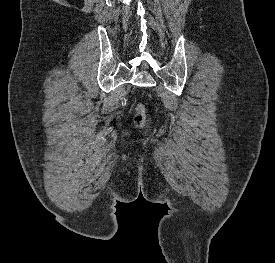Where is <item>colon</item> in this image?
<instances>
[{"label": "colon", "mask_w": 275, "mask_h": 263, "mask_svg": "<svg viewBox=\"0 0 275 263\" xmlns=\"http://www.w3.org/2000/svg\"><path fill=\"white\" fill-rule=\"evenodd\" d=\"M147 116L145 108L142 104H139L134 114V122L137 127L142 128L146 124Z\"/></svg>", "instance_id": "colon-1"}]
</instances>
